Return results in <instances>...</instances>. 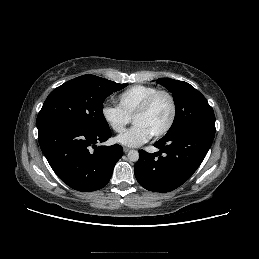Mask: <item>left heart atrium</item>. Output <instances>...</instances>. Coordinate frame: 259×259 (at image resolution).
<instances>
[{
    "instance_id": "left-heart-atrium-1",
    "label": "left heart atrium",
    "mask_w": 259,
    "mask_h": 259,
    "mask_svg": "<svg viewBox=\"0 0 259 259\" xmlns=\"http://www.w3.org/2000/svg\"><path fill=\"white\" fill-rule=\"evenodd\" d=\"M151 137L152 134L145 127L141 125H134L126 132L117 136L116 142L124 146L137 147L150 140Z\"/></svg>"
}]
</instances>
